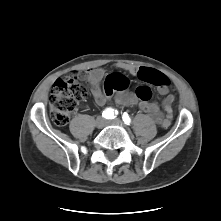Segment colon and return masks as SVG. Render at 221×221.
I'll return each instance as SVG.
<instances>
[{
  "instance_id": "obj_1",
  "label": "colon",
  "mask_w": 221,
  "mask_h": 221,
  "mask_svg": "<svg viewBox=\"0 0 221 221\" xmlns=\"http://www.w3.org/2000/svg\"><path fill=\"white\" fill-rule=\"evenodd\" d=\"M137 77L145 82L157 87L167 86L170 81L166 75L151 68H140ZM122 87H113L110 84L105 85L107 94H112L114 90ZM136 95L141 100H149L152 96L150 86L143 84L136 88ZM88 90L80 81L75 73H70L57 79L51 90L50 112L54 123L58 126H64L68 123L70 114L76 109L78 103L86 98ZM167 127V125H164Z\"/></svg>"
}]
</instances>
